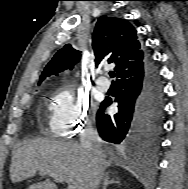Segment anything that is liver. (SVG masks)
Segmentation results:
<instances>
[{
    "label": "liver",
    "mask_w": 188,
    "mask_h": 189,
    "mask_svg": "<svg viewBox=\"0 0 188 189\" xmlns=\"http://www.w3.org/2000/svg\"><path fill=\"white\" fill-rule=\"evenodd\" d=\"M111 164V160L103 158V169ZM40 170L56 172L76 189H89L91 163L79 144L38 138L15 151L10 167L13 183L33 177ZM28 189H57V186L47 179L30 185Z\"/></svg>",
    "instance_id": "6515ba94"
}]
</instances>
